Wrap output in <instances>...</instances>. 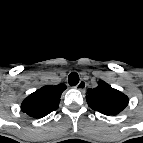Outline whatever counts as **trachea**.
I'll return each instance as SVG.
<instances>
[{
    "label": "trachea",
    "mask_w": 143,
    "mask_h": 143,
    "mask_svg": "<svg viewBox=\"0 0 143 143\" xmlns=\"http://www.w3.org/2000/svg\"><path fill=\"white\" fill-rule=\"evenodd\" d=\"M70 86H76L79 83V75L76 72H71L68 76Z\"/></svg>",
    "instance_id": "3493384b"
}]
</instances>
